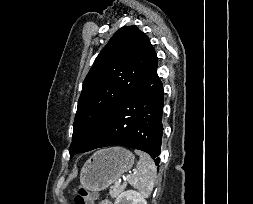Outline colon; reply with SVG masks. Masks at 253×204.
I'll list each match as a JSON object with an SVG mask.
<instances>
[{
	"mask_svg": "<svg viewBox=\"0 0 253 204\" xmlns=\"http://www.w3.org/2000/svg\"><path fill=\"white\" fill-rule=\"evenodd\" d=\"M95 200L96 195L93 192L85 188H81L74 199V204H94Z\"/></svg>",
	"mask_w": 253,
	"mask_h": 204,
	"instance_id": "5ec220e1",
	"label": "colon"
}]
</instances>
